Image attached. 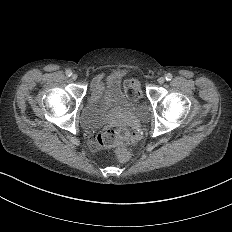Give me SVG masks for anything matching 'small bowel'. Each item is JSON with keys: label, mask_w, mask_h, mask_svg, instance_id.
Returning <instances> with one entry per match:
<instances>
[{"label": "small bowel", "mask_w": 232, "mask_h": 232, "mask_svg": "<svg viewBox=\"0 0 232 232\" xmlns=\"http://www.w3.org/2000/svg\"><path fill=\"white\" fill-rule=\"evenodd\" d=\"M105 85L109 86V97L112 101H118L120 98L119 81L114 77L107 78L105 72L97 74L91 80L92 95L87 105V111L91 117L97 114L98 104L103 98L102 91Z\"/></svg>", "instance_id": "c3829d8e"}]
</instances>
